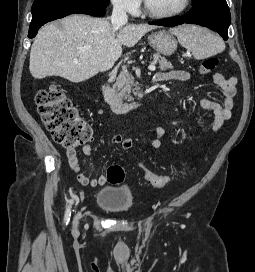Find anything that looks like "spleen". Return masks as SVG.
Returning a JSON list of instances; mask_svg holds the SVG:
<instances>
[{"label":"spleen","mask_w":255,"mask_h":272,"mask_svg":"<svg viewBox=\"0 0 255 272\" xmlns=\"http://www.w3.org/2000/svg\"><path fill=\"white\" fill-rule=\"evenodd\" d=\"M171 33L198 60L221 53L225 49V44L220 37L196 25H181L171 29Z\"/></svg>","instance_id":"spleen-1"}]
</instances>
